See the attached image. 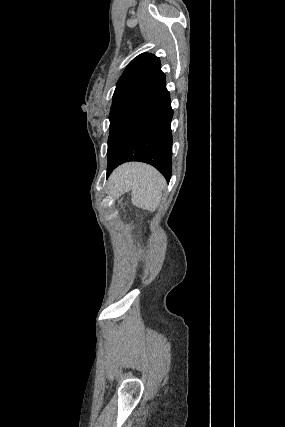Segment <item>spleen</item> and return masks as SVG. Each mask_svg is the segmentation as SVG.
<instances>
[{
    "label": "spleen",
    "instance_id": "obj_1",
    "mask_svg": "<svg viewBox=\"0 0 285 427\" xmlns=\"http://www.w3.org/2000/svg\"><path fill=\"white\" fill-rule=\"evenodd\" d=\"M127 165L113 176L112 190L117 192L132 190V202L135 206L155 211L161 201L162 190L166 186L164 177L155 168L146 164Z\"/></svg>",
    "mask_w": 285,
    "mask_h": 427
}]
</instances>
